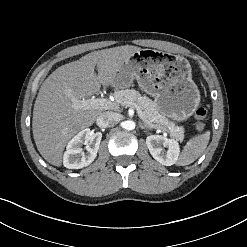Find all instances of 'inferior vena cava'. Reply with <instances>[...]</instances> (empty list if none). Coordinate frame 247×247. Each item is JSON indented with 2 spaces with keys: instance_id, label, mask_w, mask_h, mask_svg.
Returning a JSON list of instances; mask_svg holds the SVG:
<instances>
[{
  "instance_id": "inferior-vena-cava-1",
  "label": "inferior vena cava",
  "mask_w": 247,
  "mask_h": 247,
  "mask_svg": "<svg viewBox=\"0 0 247 247\" xmlns=\"http://www.w3.org/2000/svg\"><path fill=\"white\" fill-rule=\"evenodd\" d=\"M119 120V116L114 112H103L96 119V124L100 128H107L113 126Z\"/></svg>"
}]
</instances>
